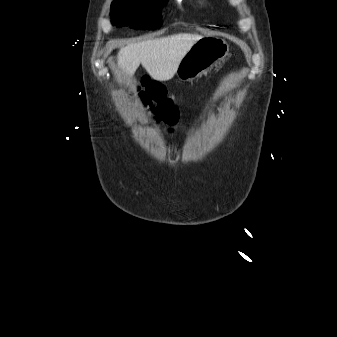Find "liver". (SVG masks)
<instances>
[{"label": "liver", "mask_w": 337, "mask_h": 337, "mask_svg": "<svg viewBox=\"0 0 337 337\" xmlns=\"http://www.w3.org/2000/svg\"><path fill=\"white\" fill-rule=\"evenodd\" d=\"M202 36L188 33L148 39L121 48L118 64L128 76H133L141 64L155 80H170L190 48Z\"/></svg>", "instance_id": "obj_1"}]
</instances>
